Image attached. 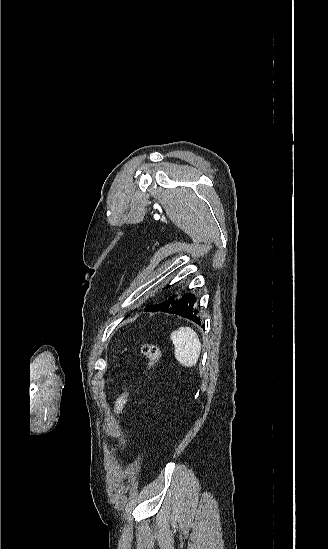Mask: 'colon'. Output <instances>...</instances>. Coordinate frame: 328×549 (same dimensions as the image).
<instances>
[{
	"mask_svg": "<svg viewBox=\"0 0 328 549\" xmlns=\"http://www.w3.org/2000/svg\"><path fill=\"white\" fill-rule=\"evenodd\" d=\"M140 352L147 360L146 373H148V372L152 371L157 366V364L159 363V361L161 359V356H162V351L158 346H156L154 344L144 343L140 347ZM129 393H130V389L127 388L117 398V400L115 402V405H114V414H115V416L121 415L122 411L124 410V408H125V406L128 402Z\"/></svg>",
	"mask_w": 328,
	"mask_h": 549,
	"instance_id": "5ec220e1",
	"label": "colon"
}]
</instances>
